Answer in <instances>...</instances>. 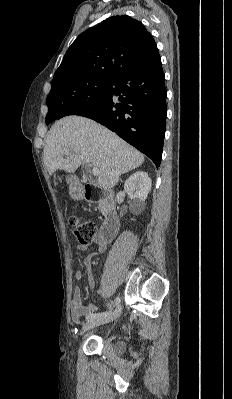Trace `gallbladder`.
<instances>
[{
	"label": "gallbladder",
	"mask_w": 232,
	"mask_h": 399,
	"mask_svg": "<svg viewBox=\"0 0 232 399\" xmlns=\"http://www.w3.org/2000/svg\"><path fill=\"white\" fill-rule=\"evenodd\" d=\"M82 168H83V173H84V174H90V173H91V168H90V167H87L86 164H83V165H82Z\"/></svg>",
	"instance_id": "obj_1"
}]
</instances>
